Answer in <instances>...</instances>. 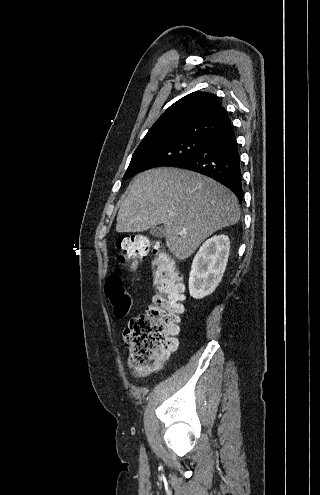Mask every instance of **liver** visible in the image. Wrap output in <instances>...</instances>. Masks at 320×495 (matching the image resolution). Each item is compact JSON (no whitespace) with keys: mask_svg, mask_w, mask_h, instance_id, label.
<instances>
[{"mask_svg":"<svg viewBox=\"0 0 320 495\" xmlns=\"http://www.w3.org/2000/svg\"><path fill=\"white\" fill-rule=\"evenodd\" d=\"M239 219L237 197L220 183L187 170L158 168L135 178L120 205L116 231L143 232L164 224L167 247L185 260L208 236Z\"/></svg>","mask_w":320,"mask_h":495,"instance_id":"liver-1","label":"liver"}]
</instances>
